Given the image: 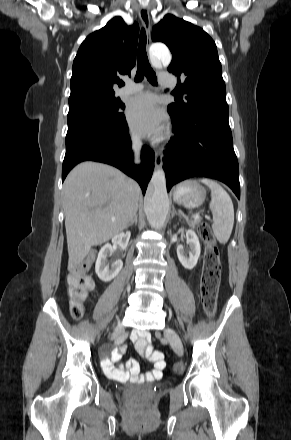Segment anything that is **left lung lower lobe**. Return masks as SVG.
Returning a JSON list of instances; mask_svg holds the SVG:
<instances>
[{
	"instance_id": "left-lung-lower-lobe-1",
	"label": "left lung lower lobe",
	"mask_w": 291,
	"mask_h": 440,
	"mask_svg": "<svg viewBox=\"0 0 291 440\" xmlns=\"http://www.w3.org/2000/svg\"><path fill=\"white\" fill-rule=\"evenodd\" d=\"M171 119L176 136L167 144L163 157L167 190L184 179L204 176L224 182L240 198L228 112L198 111L183 120Z\"/></svg>"
}]
</instances>
